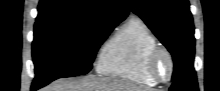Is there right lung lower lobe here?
<instances>
[{"instance_id": "98d812e1", "label": "right lung lower lobe", "mask_w": 220, "mask_h": 91, "mask_svg": "<svg viewBox=\"0 0 220 91\" xmlns=\"http://www.w3.org/2000/svg\"><path fill=\"white\" fill-rule=\"evenodd\" d=\"M40 87H43L42 85L32 84L31 90L34 91Z\"/></svg>"}]
</instances>
